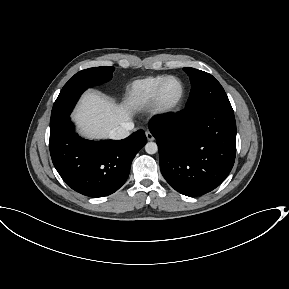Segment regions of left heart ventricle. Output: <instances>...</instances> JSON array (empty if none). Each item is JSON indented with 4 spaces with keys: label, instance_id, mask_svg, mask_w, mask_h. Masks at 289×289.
<instances>
[{
    "label": "left heart ventricle",
    "instance_id": "left-heart-ventricle-1",
    "mask_svg": "<svg viewBox=\"0 0 289 289\" xmlns=\"http://www.w3.org/2000/svg\"><path fill=\"white\" fill-rule=\"evenodd\" d=\"M179 94L180 84L175 80H170L164 86L162 97L165 102H172L177 99Z\"/></svg>",
    "mask_w": 289,
    "mask_h": 289
}]
</instances>
